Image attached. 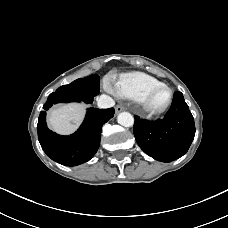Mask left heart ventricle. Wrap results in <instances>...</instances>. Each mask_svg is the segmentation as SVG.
<instances>
[{
	"label": "left heart ventricle",
	"mask_w": 228,
	"mask_h": 228,
	"mask_svg": "<svg viewBox=\"0 0 228 228\" xmlns=\"http://www.w3.org/2000/svg\"><path fill=\"white\" fill-rule=\"evenodd\" d=\"M166 99H167V91L165 89H160L152 95L150 99V105L153 108L160 107L161 105L164 104Z\"/></svg>",
	"instance_id": "obj_1"
}]
</instances>
